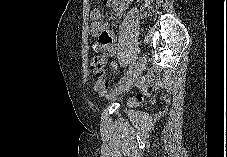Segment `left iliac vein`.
Here are the masks:
<instances>
[{
    "label": "left iliac vein",
    "instance_id": "4c4485c4",
    "mask_svg": "<svg viewBox=\"0 0 227 157\" xmlns=\"http://www.w3.org/2000/svg\"><path fill=\"white\" fill-rule=\"evenodd\" d=\"M147 65V57L146 55H142L139 57L137 60L135 69L133 70V73L128 77V79L119 85H117L111 92L110 96H118L122 94L123 92L127 91L130 89L133 84L136 82L138 79L139 75L144 71Z\"/></svg>",
    "mask_w": 227,
    "mask_h": 157
}]
</instances>
